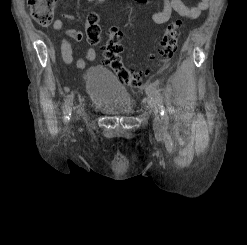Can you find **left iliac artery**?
<instances>
[{"instance_id": "left-iliac-artery-1", "label": "left iliac artery", "mask_w": 247, "mask_h": 245, "mask_svg": "<svg viewBox=\"0 0 247 245\" xmlns=\"http://www.w3.org/2000/svg\"><path fill=\"white\" fill-rule=\"evenodd\" d=\"M146 93L151 97L153 102H155L158 105V107L161 111L160 114H161L162 121H163L164 125L166 126L168 124V116H167L165 108L163 106V99H162L161 94L156 89L154 84H150L146 87Z\"/></svg>"}]
</instances>
